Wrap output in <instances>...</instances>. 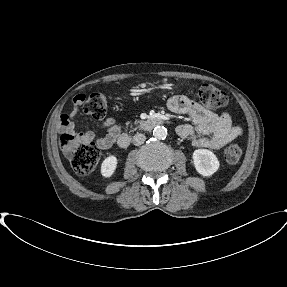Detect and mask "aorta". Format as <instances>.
Here are the masks:
<instances>
[{"label": "aorta", "instance_id": "1", "mask_svg": "<svg viewBox=\"0 0 287 287\" xmlns=\"http://www.w3.org/2000/svg\"><path fill=\"white\" fill-rule=\"evenodd\" d=\"M153 136L156 139L163 140L167 137V129L164 126H157L153 130Z\"/></svg>", "mask_w": 287, "mask_h": 287}]
</instances>
